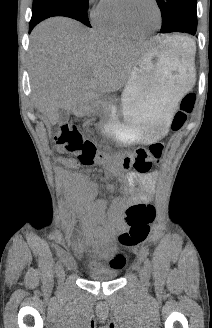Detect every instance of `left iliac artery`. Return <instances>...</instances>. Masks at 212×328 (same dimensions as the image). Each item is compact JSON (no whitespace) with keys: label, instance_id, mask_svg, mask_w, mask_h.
<instances>
[{"label":"left iliac artery","instance_id":"obj_1","mask_svg":"<svg viewBox=\"0 0 212 328\" xmlns=\"http://www.w3.org/2000/svg\"><path fill=\"white\" fill-rule=\"evenodd\" d=\"M144 266H145V269H146V272H147V276H148V278H150V275H151V262L148 258L145 259Z\"/></svg>","mask_w":212,"mask_h":328}]
</instances>
